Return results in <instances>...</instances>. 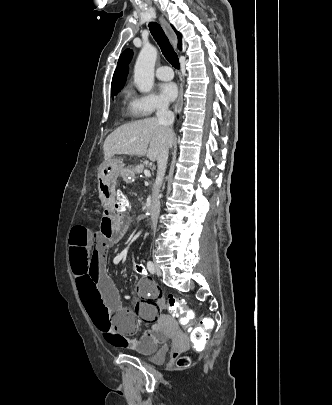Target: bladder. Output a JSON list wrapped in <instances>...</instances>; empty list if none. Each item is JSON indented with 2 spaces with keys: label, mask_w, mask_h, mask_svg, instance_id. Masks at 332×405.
Returning <instances> with one entry per match:
<instances>
[{
  "label": "bladder",
  "mask_w": 332,
  "mask_h": 405,
  "mask_svg": "<svg viewBox=\"0 0 332 405\" xmlns=\"http://www.w3.org/2000/svg\"><path fill=\"white\" fill-rule=\"evenodd\" d=\"M167 339H168L167 336L165 334H162L161 342L154 344L151 350L141 349L136 350L135 352L143 356L150 355L151 361L153 363L161 364L166 360V355L168 351V348L166 346Z\"/></svg>",
  "instance_id": "obj_1"
}]
</instances>
